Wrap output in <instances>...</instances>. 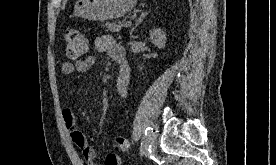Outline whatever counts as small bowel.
<instances>
[{"instance_id": "1", "label": "small bowel", "mask_w": 276, "mask_h": 165, "mask_svg": "<svg viewBox=\"0 0 276 165\" xmlns=\"http://www.w3.org/2000/svg\"><path fill=\"white\" fill-rule=\"evenodd\" d=\"M95 46L98 51L107 53L111 59L118 63L119 73L116 80V91L119 100L124 99L128 94L130 81V67L126 59L124 47L117 43L110 35L98 36L95 41ZM94 65L95 58L93 56H88L75 62L66 61L61 64V73L64 75H71L74 72L84 73ZM72 93L73 90L70 91V94ZM62 117L72 142L80 149L86 164L100 165L96 161L93 148L89 145L83 133L78 129L72 110L69 108L63 109ZM105 164L120 165V158L116 154H110L106 157Z\"/></svg>"}]
</instances>
